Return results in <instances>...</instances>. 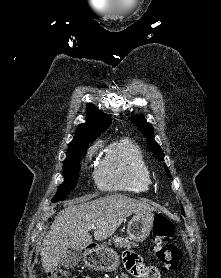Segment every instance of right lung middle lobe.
Returning <instances> with one entry per match:
<instances>
[{
	"label": "right lung middle lobe",
	"instance_id": "dd1d6c3e",
	"mask_svg": "<svg viewBox=\"0 0 221 278\" xmlns=\"http://www.w3.org/2000/svg\"><path fill=\"white\" fill-rule=\"evenodd\" d=\"M89 145H83L67 153L63 164L64 182L58 187L57 194L53 197L52 202L64 200L71 190L75 188L78 181L80 170L79 161L85 155Z\"/></svg>",
	"mask_w": 221,
	"mask_h": 278
}]
</instances>
